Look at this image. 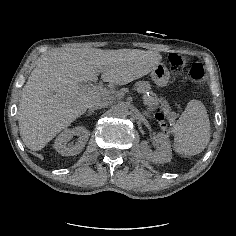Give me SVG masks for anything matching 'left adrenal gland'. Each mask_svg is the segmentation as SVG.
<instances>
[{
	"mask_svg": "<svg viewBox=\"0 0 236 236\" xmlns=\"http://www.w3.org/2000/svg\"><path fill=\"white\" fill-rule=\"evenodd\" d=\"M142 115H145V116H148V117L150 116L149 114H146V113H142Z\"/></svg>",
	"mask_w": 236,
	"mask_h": 236,
	"instance_id": "left-adrenal-gland-1",
	"label": "left adrenal gland"
}]
</instances>
